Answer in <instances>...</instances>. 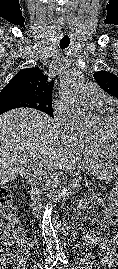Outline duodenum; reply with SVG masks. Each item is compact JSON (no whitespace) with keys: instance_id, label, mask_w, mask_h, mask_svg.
Listing matches in <instances>:
<instances>
[{"instance_id":"410a0bca","label":"duodenum","mask_w":118,"mask_h":269,"mask_svg":"<svg viewBox=\"0 0 118 269\" xmlns=\"http://www.w3.org/2000/svg\"><path fill=\"white\" fill-rule=\"evenodd\" d=\"M36 193V190H34ZM34 209L41 214V207L39 204H35ZM58 227L60 231L66 235L71 234L75 229V222L74 221H63L58 223Z\"/></svg>"}]
</instances>
